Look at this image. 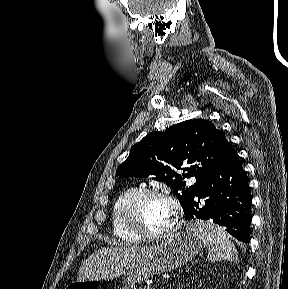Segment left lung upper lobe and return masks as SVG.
<instances>
[{"instance_id":"5c2ea615","label":"left lung upper lobe","mask_w":288,"mask_h":289,"mask_svg":"<svg viewBox=\"0 0 288 289\" xmlns=\"http://www.w3.org/2000/svg\"><path fill=\"white\" fill-rule=\"evenodd\" d=\"M229 145L223 132L210 121H184L165 132L150 133L133 145L116 176L150 177L166 182L184 210L221 162ZM185 164V173H177ZM191 177L196 178L195 184L186 186L184 179Z\"/></svg>"}]
</instances>
